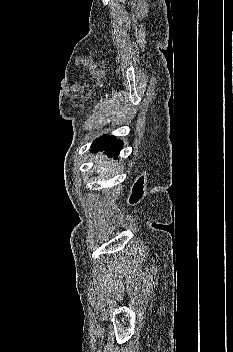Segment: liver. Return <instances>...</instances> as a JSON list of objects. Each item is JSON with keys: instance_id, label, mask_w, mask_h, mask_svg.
Returning a JSON list of instances; mask_svg holds the SVG:
<instances>
[{"instance_id": "6515ba94", "label": "liver", "mask_w": 233, "mask_h": 352, "mask_svg": "<svg viewBox=\"0 0 233 352\" xmlns=\"http://www.w3.org/2000/svg\"><path fill=\"white\" fill-rule=\"evenodd\" d=\"M111 168V164L108 162H101L100 166L98 167V173L105 174Z\"/></svg>"}]
</instances>
